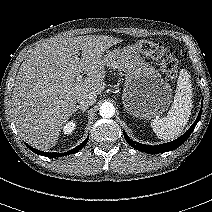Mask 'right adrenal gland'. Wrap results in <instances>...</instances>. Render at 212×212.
<instances>
[{
	"instance_id": "right-adrenal-gland-1",
	"label": "right adrenal gland",
	"mask_w": 212,
	"mask_h": 212,
	"mask_svg": "<svg viewBox=\"0 0 212 212\" xmlns=\"http://www.w3.org/2000/svg\"><path fill=\"white\" fill-rule=\"evenodd\" d=\"M78 109H80V110L82 111V113H84V112L86 111L87 107H83V106L77 105V106L75 107L74 113H76V111H77Z\"/></svg>"
}]
</instances>
